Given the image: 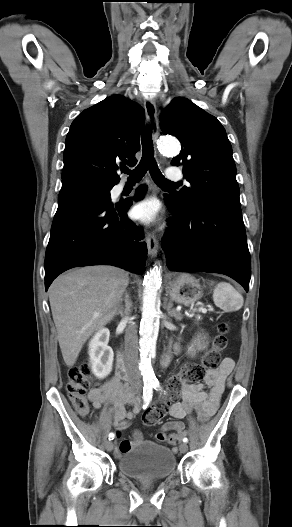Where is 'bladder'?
<instances>
[{
  "mask_svg": "<svg viewBox=\"0 0 292 527\" xmlns=\"http://www.w3.org/2000/svg\"><path fill=\"white\" fill-rule=\"evenodd\" d=\"M120 473L138 480L164 479L176 469V458L168 447L143 441L123 452L117 462Z\"/></svg>",
  "mask_w": 292,
  "mask_h": 527,
  "instance_id": "31cf9c89",
  "label": "bladder"
}]
</instances>
